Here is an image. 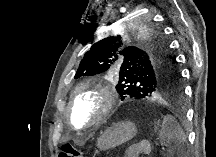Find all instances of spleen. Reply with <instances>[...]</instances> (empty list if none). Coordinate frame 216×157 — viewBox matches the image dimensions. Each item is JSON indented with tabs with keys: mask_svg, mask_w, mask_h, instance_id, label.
<instances>
[{
	"mask_svg": "<svg viewBox=\"0 0 216 157\" xmlns=\"http://www.w3.org/2000/svg\"><path fill=\"white\" fill-rule=\"evenodd\" d=\"M159 138L160 143L165 145L169 152L179 151V155L183 154L182 150L186 141V136L182 127L173 116L167 115L164 117Z\"/></svg>",
	"mask_w": 216,
	"mask_h": 157,
	"instance_id": "spleen-1",
	"label": "spleen"
}]
</instances>
